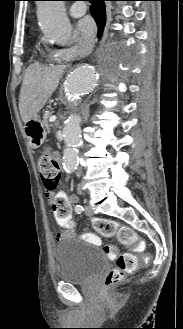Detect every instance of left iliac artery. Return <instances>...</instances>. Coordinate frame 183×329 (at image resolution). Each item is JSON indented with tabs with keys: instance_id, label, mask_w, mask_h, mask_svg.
<instances>
[{
	"instance_id": "left-iliac-artery-1",
	"label": "left iliac artery",
	"mask_w": 183,
	"mask_h": 329,
	"mask_svg": "<svg viewBox=\"0 0 183 329\" xmlns=\"http://www.w3.org/2000/svg\"><path fill=\"white\" fill-rule=\"evenodd\" d=\"M83 210H84V209H83L82 205H80V204L76 205V207H75V212H76L77 214H81V212H82Z\"/></svg>"
}]
</instances>
